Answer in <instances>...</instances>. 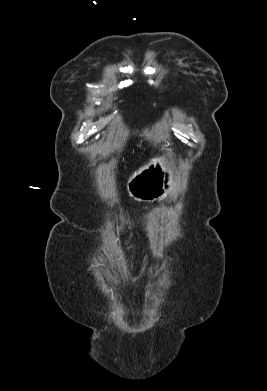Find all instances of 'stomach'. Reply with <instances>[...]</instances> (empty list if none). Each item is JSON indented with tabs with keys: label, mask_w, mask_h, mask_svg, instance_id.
<instances>
[{
	"label": "stomach",
	"mask_w": 267,
	"mask_h": 391,
	"mask_svg": "<svg viewBox=\"0 0 267 391\" xmlns=\"http://www.w3.org/2000/svg\"><path fill=\"white\" fill-rule=\"evenodd\" d=\"M175 187L172 168L162 155L156 156L133 174L127 191L137 201L153 202L166 197Z\"/></svg>",
	"instance_id": "0dacf381"
}]
</instances>
